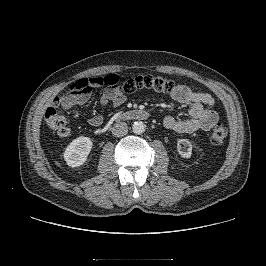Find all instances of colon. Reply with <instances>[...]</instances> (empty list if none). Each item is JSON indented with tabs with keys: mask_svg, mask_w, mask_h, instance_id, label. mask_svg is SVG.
<instances>
[{
	"mask_svg": "<svg viewBox=\"0 0 266 266\" xmlns=\"http://www.w3.org/2000/svg\"><path fill=\"white\" fill-rule=\"evenodd\" d=\"M101 85L111 87L118 94L133 93L137 90L148 89L159 93H170L175 89L174 81L158 75H141L121 82L116 74L105 76L85 77L76 80L70 86L71 93L86 94ZM45 124L48 130L60 134L67 133L65 118L57 109L50 107L45 113ZM227 128L222 123L216 124L210 133V142L215 146L223 144L227 137Z\"/></svg>",
	"mask_w": 266,
	"mask_h": 266,
	"instance_id": "obj_1",
	"label": "colon"
}]
</instances>
